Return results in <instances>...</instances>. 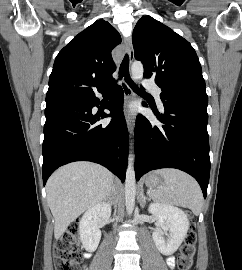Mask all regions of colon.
Returning a JSON list of instances; mask_svg holds the SVG:
<instances>
[{
  "instance_id": "5ec220e1",
  "label": "colon",
  "mask_w": 242,
  "mask_h": 270,
  "mask_svg": "<svg viewBox=\"0 0 242 270\" xmlns=\"http://www.w3.org/2000/svg\"><path fill=\"white\" fill-rule=\"evenodd\" d=\"M79 226L71 224L57 241L54 250V263L56 270H77L82 261L78 248ZM196 234L191 226L186 234L184 243L177 260L179 270H190L195 255Z\"/></svg>"
}]
</instances>
